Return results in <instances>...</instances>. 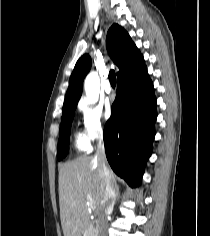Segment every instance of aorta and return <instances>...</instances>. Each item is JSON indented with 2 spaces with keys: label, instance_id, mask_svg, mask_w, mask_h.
I'll return each instance as SVG.
<instances>
[{
  "label": "aorta",
  "instance_id": "obj_1",
  "mask_svg": "<svg viewBox=\"0 0 210 236\" xmlns=\"http://www.w3.org/2000/svg\"><path fill=\"white\" fill-rule=\"evenodd\" d=\"M84 89L88 101L96 103L100 92V80L97 72L92 71L87 75L84 81Z\"/></svg>",
  "mask_w": 210,
  "mask_h": 236
}]
</instances>
